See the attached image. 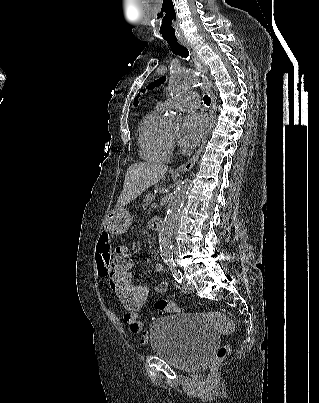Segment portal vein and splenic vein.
I'll return each mask as SVG.
<instances>
[{
	"label": "portal vein and splenic vein",
	"mask_w": 319,
	"mask_h": 403,
	"mask_svg": "<svg viewBox=\"0 0 319 403\" xmlns=\"http://www.w3.org/2000/svg\"><path fill=\"white\" fill-rule=\"evenodd\" d=\"M151 207H152V208H156V207H157V203H153V204L151 205Z\"/></svg>",
	"instance_id": "obj_1"
}]
</instances>
